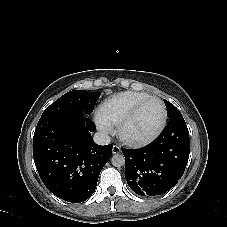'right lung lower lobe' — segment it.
Wrapping results in <instances>:
<instances>
[{"label": "right lung lower lobe", "instance_id": "right-lung-lower-lobe-1", "mask_svg": "<svg viewBox=\"0 0 227 227\" xmlns=\"http://www.w3.org/2000/svg\"><path fill=\"white\" fill-rule=\"evenodd\" d=\"M92 120L84 115L40 118L33 157L44 185L57 197L80 203L94 193L99 174L112 156V144L94 143Z\"/></svg>", "mask_w": 227, "mask_h": 227}]
</instances>
